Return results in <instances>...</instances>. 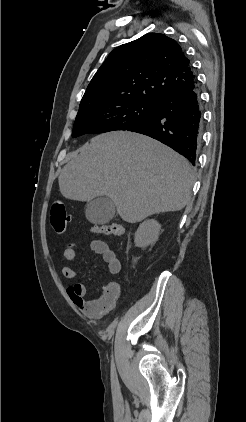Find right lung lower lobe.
<instances>
[{
	"label": "right lung lower lobe",
	"instance_id": "obj_1",
	"mask_svg": "<svg viewBox=\"0 0 246 422\" xmlns=\"http://www.w3.org/2000/svg\"><path fill=\"white\" fill-rule=\"evenodd\" d=\"M202 127L201 104L196 84L158 99L155 102L154 115L127 130L159 140L195 166Z\"/></svg>",
	"mask_w": 246,
	"mask_h": 422
}]
</instances>
